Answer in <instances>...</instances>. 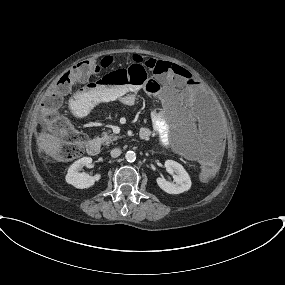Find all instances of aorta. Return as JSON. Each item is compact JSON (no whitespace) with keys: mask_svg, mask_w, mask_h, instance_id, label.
<instances>
[{"mask_svg":"<svg viewBox=\"0 0 285 285\" xmlns=\"http://www.w3.org/2000/svg\"><path fill=\"white\" fill-rule=\"evenodd\" d=\"M125 159L128 162H134L136 160V154L134 151H127L125 154Z\"/></svg>","mask_w":285,"mask_h":285,"instance_id":"762f6f07","label":"aorta"}]
</instances>
